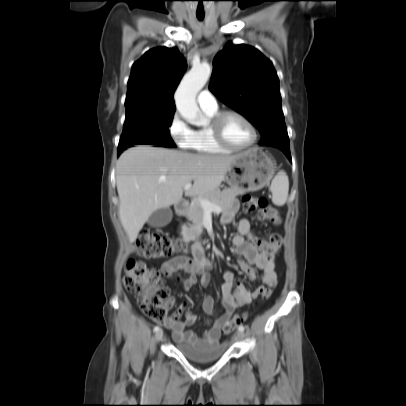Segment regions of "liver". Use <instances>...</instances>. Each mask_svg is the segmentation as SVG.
I'll use <instances>...</instances> for the list:
<instances>
[{"instance_id":"obj_1","label":"liver","mask_w":406,"mask_h":406,"mask_svg":"<svg viewBox=\"0 0 406 406\" xmlns=\"http://www.w3.org/2000/svg\"><path fill=\"white\" fill-rule=\"evenodd\" d=\"M238 155L193 154L151 146L132 147L116 163L119 218L134 242L158 209L182 200L185 184L194 181L186 196H202L218 189Z\"/></svg>"}]
</instances>
